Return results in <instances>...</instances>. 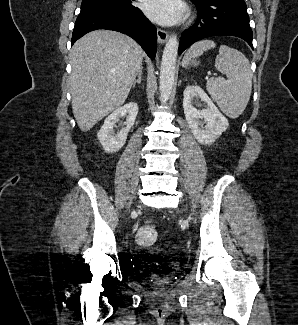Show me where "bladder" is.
<instances>
[{
  "instance_id": "1",
  "label": "bladder",
  "mask_w": 298,
  "mask_h": 325,
  "mask_svg": "<svg viewBox=\"0 0 298 325\" xmlns=\"http://www.w3.org/2000/svg\"><path fill=\"white\" fill-rule=\"evenodd\" d=\"M169 279L162 280L158 285H156L157 288H164L168 285Z\"/></svg>"
}]
</instances>
